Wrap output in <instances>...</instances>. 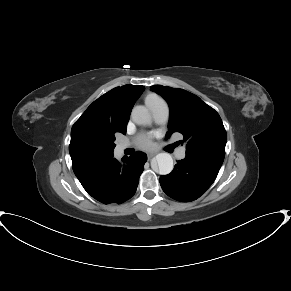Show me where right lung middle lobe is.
<instances>
[{"instance_id": "1", "label": "right lung middle lobe", "mask_w": 291, "mask_h": 291, "mask_svg": "<svg viewBox=\"0 0 291 291\" xmlns=\"http://www.w3.org/2000/svg\"><path fill=\"white\" fill-rule=\"evenodd\" d=\"M114 140H115V138L113 137L111 142H110V148H111L112 151H113V149L115 147Z\"/></svg>"}]
</instances>
